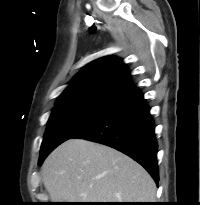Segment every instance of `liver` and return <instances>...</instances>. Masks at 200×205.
Returning <instances> with one entry per match:
<instances>
[{"label":"liver","mask_w":200,"mask_h":205,"mask_svg":"<svg viewBox=\"0 0 200 205\" xmlns=\"http://www.w3.org/2000/svg\"><path fill=\"white\" fill-rule=\"evenodd\" d=\"M43 183L58 202H154L156 185L134 160L105 145L70 139L44 161Z\"/></svg>","instance_id":"6515ba94"}]
</instances>
